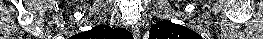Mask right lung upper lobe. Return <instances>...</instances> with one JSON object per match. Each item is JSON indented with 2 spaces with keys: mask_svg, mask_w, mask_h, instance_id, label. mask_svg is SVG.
I'll use <instances>...</instances> for the list:
<instances>
[{
  "mask_svg": "<svg viewBox=\"0 0 263 39\" xmlns=\"http://www.w3.org/2000/svg\"><path fill=\"white\" fill-rule=\"evenodd\" d=\"M129 32L124 30H120L119 28L113 29L110 28L107 25H98L94 28H92L89 31L83 32L82 35L84 36V39H95V38H101V39H122L124 37H128ZM131 35V34H130Z\"/></svg>",
  "mask_w": 263,
  "mask_h": 39,
  "instance_id": "cb5924a9",
  "label": "right lung upper lobe"
}]
</instances>
